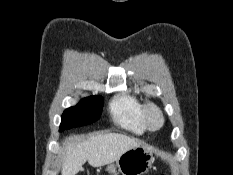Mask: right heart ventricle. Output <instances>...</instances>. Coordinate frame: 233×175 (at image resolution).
Returning a JSON list of instances; mask_svg holds the SVG:
<instances>
[{"mask_svg": "<svg viewBox=\"0 0 233 175\" xmlns=\"http://www.w3.org/2000/svg\"><path fill=\"white\" fill-rule=\"evenodd\" d=\"M144 103L135 94L124 92L115 96L109 104L112 119L121 127L142 134L147 130L142 117Z\"/></svg>", "mask_w": 233, "mask_h": 175, "instance_id": "1", "label": "right heart ventricle"}]
</instances>
